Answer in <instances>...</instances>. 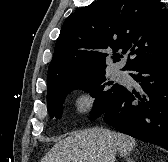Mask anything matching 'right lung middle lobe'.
Segmentation results:
<instances>
[{
	"instance_id": "right-lung-middle-lobe-1",
	"label": "right lung middle lobe",
	"mask_w": 168,
	"mask_h": 162,
	"mask_svg": "<svg viewBox=\"0 0 168 162\" xmlns=\"http://www.w3.org/2000/svg\"><path fill=\"white\" fill-rule=\"evenodd\" d=\"M124 87L114 84L105 77V71L94 72L75 79L58 81L47 88V102L50 117L61 118L66 95L74 89H81L95 97L92 118L100 117L114 102Z\"/></svg>"
}]
</instances>
